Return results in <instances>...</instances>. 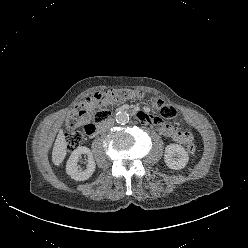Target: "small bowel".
<instances>
[{"instance_id":"obj_1","label":"small bowel","mask_w":248,"mask_h":248,"mask_svg":"<svg viewBox=\"0 0 248 248\" xmlns=\"http://www.w3.org/2000/svg\"><path fill=\"white\" fill-rule=\"evenodd\" d=\"M148 106L154 108V111L159 116H151L150 114H144L142 117V122L145 125H150L159 130V132L171 138L178 144H187L192 141L193 137L189 132L178 131L173 128V126L167 124L166 121L178 120L180 118V111L175 109L171 102L162 101L157 97H150L148 99ZM186 122L193 128H196L195 122L188 116H185Z\"/></svg>"}]
</instances>
